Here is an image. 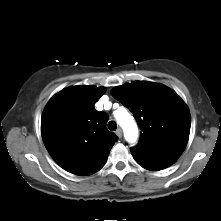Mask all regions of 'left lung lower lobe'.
Returning a JSON list of instances; mask_svg holds the SVG:
<instances>
[{"label": "left lung lower lobe", "instance_id": "obj_1", "mask_svg": "<svg viewBox=\"0 0 221 221\" xmlns=\"http://www.w3.org/2000/svg\"><path fill=\"white\" fill-rule=\"evenodd\" d=\"M135 161L143 168L151 171H158L165 169L166 167L172 165L176 160H149L140 157L133 156Z\"/></svg>", "mask_w": 221, "mask_h": 221}]
</instances>
